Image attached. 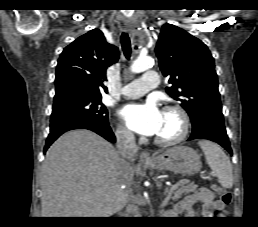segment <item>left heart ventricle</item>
<instances>
[{"label":"left heart ventricle","instance_id":"1","mask_svg":"<svg viewBox=\"0 0 258 227\" xmlns=\"http://www.w3.org/2000/svg\"><path fill=\"white\" fill-rule=\"evenodd\" d=\"M180 131V121L173 113L162 112L161 125L156 136L170 139L175 137Z\"/></svg>","mask_w":258,"mask_h":227}]
</instances>
